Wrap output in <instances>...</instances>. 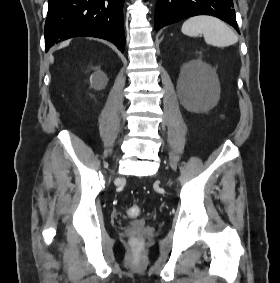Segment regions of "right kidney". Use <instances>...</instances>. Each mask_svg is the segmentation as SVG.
Instances as JSON below:
<instances>
[{
	"instance_id": "right-kidney-1",
	"label": "right kidney",
	"mask_w": 280,
	"mask_h": 283,
	"mask_svg": "<svg viewBox=\"0 0 280 283\" xmlns=\"http://www.w3.org/2000/svg\"><path fill=\"white\" fill-rule=\"evenodd\" d=\"M91 82H92V78H91ZM93 82L95 84L105 85L107 82V78L104 74L99 73L93 77Z\"/></svg>"
}]
</instances>
